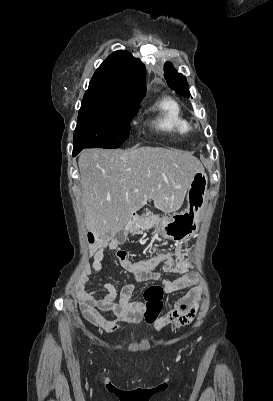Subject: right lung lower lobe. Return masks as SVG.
Instances as JSON below:
<instances>
[{
    "label": "right lung lower lobe",
    "mask_w": 273,
    "mask_h": 401,
    "mask_svg": "<svg viewBox=\"0 0 273 401\" xmlns=\"http://www.w3.org/2000/svg\"><path fill=\"white\" fill-rule=\"evenodd\" d=\"M81 150H82V148H78V149L73 148V156H76Z\"/></svg>",
    "instance_id": "obj_1"
}]
</instances>
